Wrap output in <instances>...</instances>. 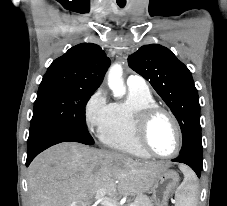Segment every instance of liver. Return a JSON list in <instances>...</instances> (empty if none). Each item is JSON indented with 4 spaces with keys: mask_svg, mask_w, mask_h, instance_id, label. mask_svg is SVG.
Wrapping results in <instances>:
<instances>
[{
    "mask_svg": "<svg viewBox=\"0 0 227 206\" xmlns=\"http://www.w3.org/2000/svg\"><path fill=\"white\" fill-rule=\"evenodd\" d=\"M168 168L165 163L139 161L80 143H60L29 166L30 206H88L99 190L110 196L143 193Z\"/></svg>",
    "mask_w": 227,
    "mask_h": 206,
    "instance_id": "obj_1",
    "label": "liver"
}]
</instances>
